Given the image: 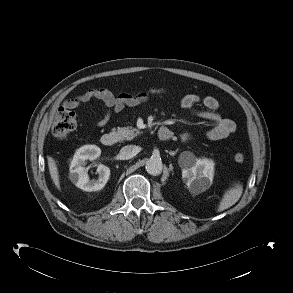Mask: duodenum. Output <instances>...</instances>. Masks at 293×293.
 <instances>
[{"label": "duodenum", "instance_id": "obj_1", "mask_svg": "<svg viewBox=\"0 0 293 293\" xmlns=\"http://www.w3.org/2000/svg\"><path fill=\"white\" fill-rule=\"evenodd\" d=\"M158 137L162 141H167L171 137V132L167 128H161L158 133ZM100 141L104 147L109 148V147H113L116 144L117 138L114 133L108 132L101 136Z\"/></svg>", "mask_w": 293, "mask_h": 293}]
</instances>
